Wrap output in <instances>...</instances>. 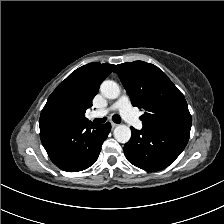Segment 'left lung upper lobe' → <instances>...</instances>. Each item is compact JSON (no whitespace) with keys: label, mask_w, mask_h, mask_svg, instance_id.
I'll list each match as a JSON object with an SVG mask.
<instances>
[{"label":"left lung upper lobe","mask_w":224,"mask_h":224,"mask_svg":"<svg viewBox=\"0 0 224 224\" xmlns=\"http://www.w3.org/2000/svg\"><path fill=\"white\" fill-rule=\"evenodd\" d=\"M132 104L145 110L144 128L168 131L189 138L191 115L183 94L157 66L143 61L116 65Z\"/></svg>","instance_id":"obj_1"}]
</instances>
